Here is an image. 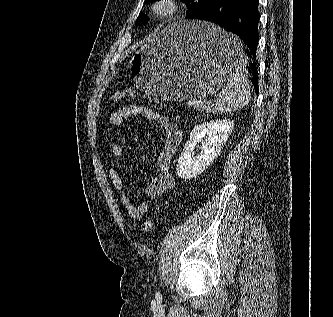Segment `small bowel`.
Masks as SVG:
<instances>
[{
	"label": "small bowel",
	"instance_id": "obj_1",
	"mask_svg": "<svg viewBox=\"0 0 333 317\" xmlns=\"http://www.w3.org/2000/svg\"><path fill=\"white\" fill-rule=\"evenodd\" d=\"M143 115L157 123L164 131L165 139L162 150L160 151L154 166V177L146 187V195L150 199H156L172 190L175 186L174 178L169 173V167L179 144L182 140L181 129L169 118L159 112L145 106L126 105L117 108L109 116V123L112 126H121L130 117ZM112 156L121 160L124 157V149L115 144L111 147ZM110 181L120 196V200L128 216L135 220H140L149 210L146 201L133 203L125 188L124 182L118 171L110 167L108 170Z\"/></svg>",
	"mask_w": 333,
	"mask_h": 317
}]
</instances>
